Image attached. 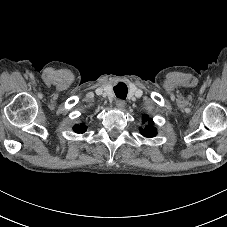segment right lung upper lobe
Masks as SVG:
<instances>
[{
  "mask_svg": "<svg viewBox=\"0 0 227 227\" xmlns=\"http://www.w3.org/2000/svg\"><path fill=\"white\" fill-rule=\"evenodd\" d=\"M73 129L76 133H84L87 127L85 126V124H80V125H75Z\"/></svg>",
  "mask_w": 227,
  "mask_h": 227,
  "instance_id": "obj_1",
  "label": "right lung upper lobe"
}]
</instances>
